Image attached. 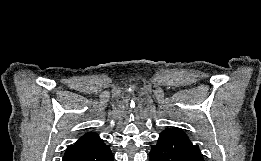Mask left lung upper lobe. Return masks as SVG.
I'll list each match as a JSON object with an SVG mask.
<instances>
[{"label":"left lung upper lobe","instance_id":"5c2ea615","mask_svg":"<svg viewBox=\"0 0 261 161\" xmlns=\"http://www.w3.org/2000/svg\"><path fill=\"white\" fill-rule=\"evenodd\" d=\"M167 130L174 131V132H177L179 134H182V135L186 136V134L184 132H182L181 130H179V129H167Z\"/></svg>","mask_w":261,"mask_h":161}]
</instances>
